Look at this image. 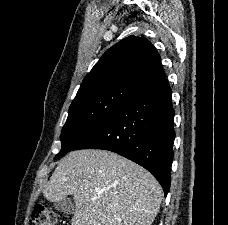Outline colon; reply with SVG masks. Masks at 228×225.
Returning <instances> with one entry per match:
<instances>
[{
	"label": "colon",
	"mask_w": 228,
	"mask_h": 225,
	"mask_svg": "<svg viewBox=\"0 0 228 225\" xmlns=\"http://www.w3.org/2000/svg\"><path fill=\"white\" fill-rule=\"evenodd\" d=\"M32 222L34 225L58 224L56 213L41 203H38L32 212Z\"/></svg>",
	"instance_id": "5ec220e1"
}]
</instances>
